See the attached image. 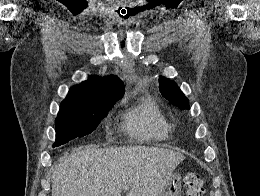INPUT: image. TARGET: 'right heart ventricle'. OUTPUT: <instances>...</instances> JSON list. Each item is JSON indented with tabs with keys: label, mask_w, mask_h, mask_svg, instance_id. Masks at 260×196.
<instances>
[{
	"label": "right heart ventricle",
	"mask_w": 260,
	"mask_h": 196,
	"mask_svg": "<svg viewBox=\"0 0 260 196\" xmlns=\"http://www.w3.org/2000/svg\"><path fill=\"white\" fill-rule=\"evenodd\" d=\"M131 132L146 142L169 139L172 126L166 117L149 102H143L125 115ZM90 192H122V190H90Z\"/></svg>",
	"instance_id": "obj_1"
}]
</instances>
